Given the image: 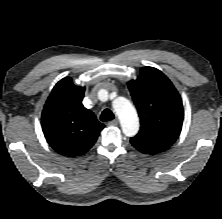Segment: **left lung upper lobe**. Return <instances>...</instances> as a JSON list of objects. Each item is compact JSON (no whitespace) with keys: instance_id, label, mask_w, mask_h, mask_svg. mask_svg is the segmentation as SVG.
I'll return each mask as SVG.
<instances>
[{"instance_id":"obj_1","label":"left lung upper lobe","mask_w":222,"mask_h":219,"mask_svg":"<svg viewBox=\"0 0 222 219\" xmlns=\"http://www.w3.org/2000/svg\"><path fill=\"white\" fill-rule=\"evenodd\" d=\"M140 117V131L130 139L133 146L163 152L178 138L183 106L171 81L158 69L143 67L136 80L128 82Z\"/></svg>"}]
</instances>
